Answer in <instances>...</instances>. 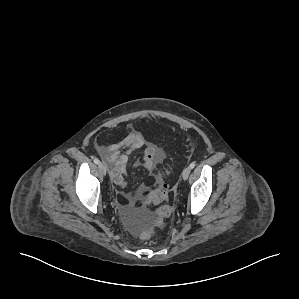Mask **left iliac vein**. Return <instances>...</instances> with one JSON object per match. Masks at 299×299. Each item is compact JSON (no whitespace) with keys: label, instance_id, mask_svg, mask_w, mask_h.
<instances>
[{"label":"left iliac vein","instance_id":"1","mask_svg":"<svg viewBox=\"0 0 299 299\" xmlns=\"http://www.w3.org/2000/svg\"><path fill=\"white\" fill-rule=\"evenodd\" d=\"M191 169L190 167H186L184 168L183 172H182V177L184 180H187L189 175H190Z\"/></svg>","mask_w":299,"mask_h":299}]
</instances>
